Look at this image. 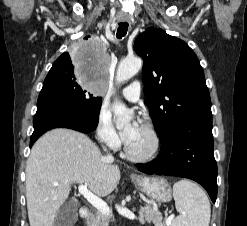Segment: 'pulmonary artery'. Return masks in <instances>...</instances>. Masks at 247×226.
I'll return each mask as SVG.
<instances>
[{"label":"pulmonary artery","instance_id":"obj_1","mask_svg":"<svg viewBox=\"0 0 247 226\" xmlns=\"http://www.w3.org/2000/svg\"><path fill=\"white\" fill-rule=\"evenodd\" d=\"M140 90V83L138 81H134L122 89V95L128 101L136 102L139 100Z\"/></svg>","mask_w":247,"mask_h":226}]
</instances>
